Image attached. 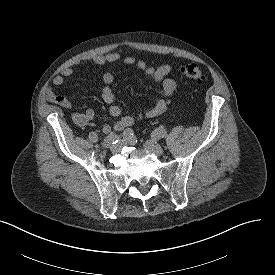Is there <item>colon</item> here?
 <instances>
[{
  "label": "colon",
  "mask_w": 275,
  "mask_h": 275,
  "mask_svg": "<svg viewBox=\"0 0 275 275\" xmlns=\"http://www.w3.org/2000/svg\"><path fill=\"white\" fill-rule=\"evenodd\" d=\"M179 73L196 85H202L206 80L204 72L196 64L182 65L179 68Z\"/></svg>",
  "instance_id": "1"
}]
</instances>
